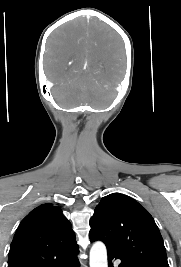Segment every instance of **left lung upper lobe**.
Instances as JSON below:
<instances>
[{"label": "left lung upper lobe", "mask_w": 181, "mask_h": 267, "mask_svg": "<svg viewBox=\"0 0 181 267\" xmlns=\"http://www.w3.org/2000/svg\"><path fill=\"white\" fill-rule=\"evenodd\" d=\"M89 237L101 240L123 258L143 267H169L162 236L136 200L121 193L101 199L90 220Z\"/></svg>", "instance_id": "1"}]
</instances>
